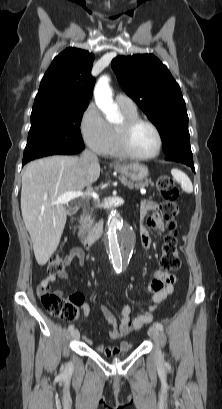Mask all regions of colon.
<instances>
[{
    "mask_svg": "<svg viewBox=\"0 0 222 409\" xmlns=\"http://www.w3.org/2000/svg\"><path fill=\"white\" fill-rule=\"evenodd\" d=\"M157 188L164 201L160 207V215L169 228L160 256V267L164 273H170L179 269L181 260L177 249V230L175 217L178 213L179 191L174 181L169 176H161L157 180ZM65 268L64 257L54 254L48 263V271L51 274H59ZM40 299L45 310L53 316L72 319L77 315V309L72 301L57 291H44Z\"/></svg>",
    "mask_w": 222,
    "mask_h": 409,
    "instance_id": "obj_1",
    "label": "colon"
}]
</instances>
